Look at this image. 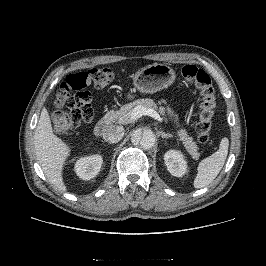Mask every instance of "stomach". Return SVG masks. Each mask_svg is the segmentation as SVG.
I'll use <instances>...</instances> for the list:
<instances>
[{"instance_id":"obj_1","label":"stomach","mask_w":266,"mask_h":266,"mask_svg":"<svg viewBox=\"0 0 266 266\" xmlns=\"http://www.w3.org/2000/svg\"><path fill=\"white\" fill-rule=\"evenodd\" d=\"M176 74L167 64L154 63L139 70L134 78V87L141 93H156L175 82Z\"/></svg>"}]
</instances>
